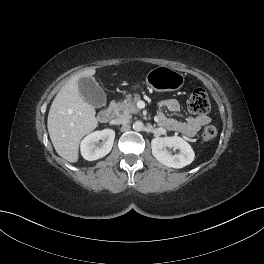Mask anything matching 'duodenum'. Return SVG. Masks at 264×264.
Segmentation results:
<instances>
[{
  "instance_id": "obj_1",
  "label": "duodenum",
  "mask_w": 264,
  "mask_h": 264,
  "mask_svg": "<svg viewBox=\"0 0 264 264\" xmlns=\"http://www.w3.org/2000/svg\"><path fill=\"white\" fill-rule=\"evenodd\" d=\"M113 116H114V108L113 106H109L99 113L98 120L101 123H107L113 118Z\"/></svg>"
}]
</instances>
